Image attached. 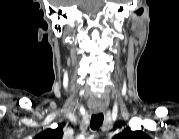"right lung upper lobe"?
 <instances>
[{"mask_svg": "<svg viewBox=\"0 0 179 139\" xmlns=\"http://www.w3.org/2000/svg\"><path fill=\"white\" fill-rule=\"evenodd\" d=\"M63 136L62 127H58L57 129H47L37 135L35 139H61Z\"/></svg>", "mask_w": 179, "mask_h": 139, "instance_id": "obj_1", "label": "right lung upper lobe"}]
</instances>
